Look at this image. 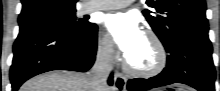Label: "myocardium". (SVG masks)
I'll use <instances>...</instances> for the list:
<instances>
[{"mask_svg":"<svg viewBox=\"0 0 220 91\" xmlns=\"http://www.w3.org/2000/svg\"><path fill=\"white\" fill-rule=\"evenodd\" d=\"M144 36L153 44L155 51L154 64L149 68H136L128 62L127 58H125L123 65L129 74L136 77L149 78L158 75L164 70L167 65L168 56L162 40L154 31L147 30Z\"/></svg>","mask_w":220,"mask_h":91,"instance_id":"myocardium-1","label":"myocardium"}]
</instances>
